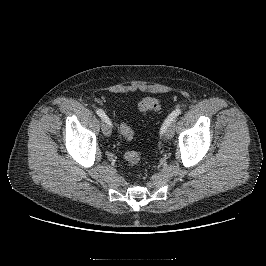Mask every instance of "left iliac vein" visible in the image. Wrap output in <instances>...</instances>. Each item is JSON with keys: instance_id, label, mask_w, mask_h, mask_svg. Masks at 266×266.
<instances>
[{"instance_id": "4c4485c4", "label": "left iliac vein", "mask_w": 266, "mask_h": 266, "mask_svg": "<svg viewBox=\"0 0 266 266\" xmlns=\"http://www.w3.org/2000/svg\"><path fill=\"white\" fill-rule=\"evenodd\" d=\"M165 136L167 139H171L174 136V126L172 124L167 127Z\"/></svg>"}]
</instances>
